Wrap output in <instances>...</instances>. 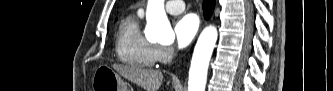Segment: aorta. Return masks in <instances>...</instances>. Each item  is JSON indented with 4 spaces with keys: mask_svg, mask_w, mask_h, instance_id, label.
I'll return each instance as SVG.
<instances>
[{
    "mask_svg": "<svg viewBox=\"0 0 333 91\" xmlns=\"http://www.w3.org/2000/svg\"><path fill=\"white\" fill-rule=\"evenodd\" d=\"M146 37L167 42L174 40V32L164 10V0H149L146 13ZM217 29L206 27L200 34L189 70L188 91H205L210 58L217 41Z\"/></svg>",
    "mask_w": 333,
    "mask_h": 91,
    "instance_id": "aorta-1",
    "label": "aorta"
}]
</instances>
